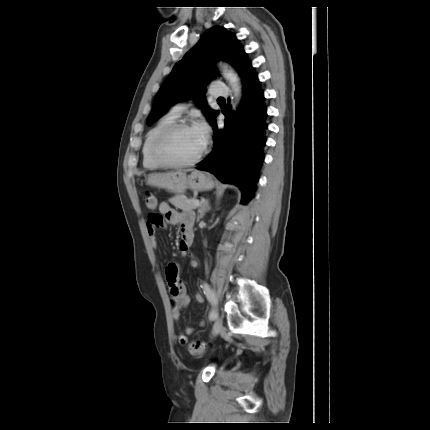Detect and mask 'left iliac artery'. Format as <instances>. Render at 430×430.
<instances>
[{"label": "left iliac artery", "mask_w": 430, "mask_h": 430, "mask_svg": "<svg viewBox=\"0 0 430 430\" xmlns=\"http://www.w3.org/2000/svg\"><path fill=\"white\" fill-rule=\"evenodd\" d=\"M201 287L203 288L204 294L206 295L207 299L213 305H216L217 299H216L214 293L212 292V290L210 289L209 285L207 283H203V285ZM216 318H217V312L215 309H213L209 314V320H215Z\"/></svg>", "instance_id": "1"}]
</instances>
